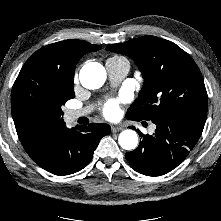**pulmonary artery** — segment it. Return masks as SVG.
<instances>
[{
    "label": "pulmonary artery",
    "mask_w": 221,
    "mask_h": 221,
    "mask_svg": "<svg viewBox=\"0 0 221 221\" xmlns=\"http://www.w3.org/2000/svg\"><path fill=\"white\" fill-rule=\"evenodd\" d=\"M105 66L109 79L114 85L118 84L127 75L130 68L129 62L122 57H112L107 59ZM87 112V109L69 111L67 113V119L69 121H74L86 115Z\"/></svg>",
    "instance_id": "pulmonary-artery-1"
}]
</instances>
